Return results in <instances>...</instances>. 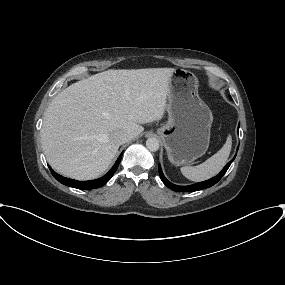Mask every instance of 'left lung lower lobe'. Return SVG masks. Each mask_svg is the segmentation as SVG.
Instances as JSON below:
<instances>
[{
  "label": "left lung lower lobe",
  "mask_w": 285,
  "mask_h": 285,
  "mask_svg": "<svg viewBox=\"0 0 285 285\" xmlns=\"http://www.w3.org/2000/svg\"><path fill=\"white\" fill-rule=\"evenodd\" d=\"M239 128V127H238ZM236 157V155L234 156V158ZM233 158V159H234ZM233 160H231L223 169L222 171L215 177L203 181V182H199L193 185H189V186H178V185H174L171 182H169L165 176L163 175V172L161 170V167L159 165L158 170H159V175L161 180L163 181V183L169 187L170 189H172L173 191H177V192H194V191H198V190H202L205 188H209L211 186H213L214 184H216L222 177L223 175L226 173L227 169L229 168L230 164L232 163Z\"/></svg>",
  "instance_id": "1"
}]
</instances>
